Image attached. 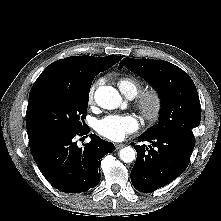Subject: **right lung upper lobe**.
Listing matches in <instances>:
<instances>
[{
    "instance_id": "right-lung-upper-lobe-1",
    "label": "right lung upper lobe",
    "mask_w": 221,
    "mask_h": 221,
    "mask_svg": "<svg viewBox=\"0 0 221 221\" xmlns=\"http://www.w3.org/2000/svg\"><path fill=\"white\" fill-rule=\"evenodd\" d=\"M122 59L121 56H71L51 63L37 78L33 86L52 83L80 88L93 81L94 77Z\"/></svg>"
}]
</instances>
